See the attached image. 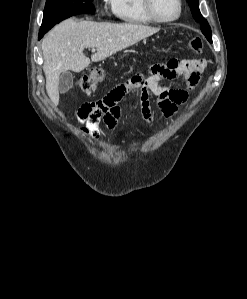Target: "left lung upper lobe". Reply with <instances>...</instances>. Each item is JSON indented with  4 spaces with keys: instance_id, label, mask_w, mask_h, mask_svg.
<instances>
[{
    "instance_id": "1",
    "label": "left lung upper lobe",
    "mask_w": 247,
    "mask_h": 299,
    "mask_svg": "<svg viewBox=\"0 0 247 299\" xmlns=\"http://www.w3.org/2000/svg\"><path fill=\"white\" fill-rule=\"evenodd\" d=\"M187 2L191 7V12L194 19L201 24V30L203 34L206 36L207 40L212 43L211 29L207 20L200 13L198 0H187Z\"/></svg>"
}]
</instances>
